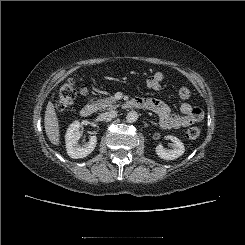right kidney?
Wrapping results in <instances>:
<instances>
[{
    "label": "right kidney",
    "instance_id": "right-kidney-1",
    "mask_svg": "<svg viewBox=\"0 0 245 245\" xmlns=\"http://www.w3.org/2000/svg\"><path fill=\"white\" fill-rule=\"evenodd\" d=\"M80 127V122L74 121L72 124H70L65 136L67 153L73 159L88 156L95 149L97 143V137L91 136L87 144L82 146L79 145L78 140L82 135L80 132Z\"/></svg>",
    "mask_w": 245,
    "mask_h": 245
}]
</instances>
